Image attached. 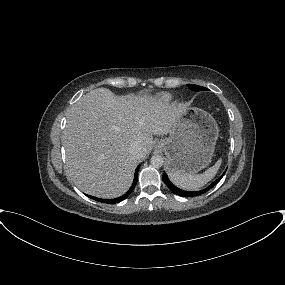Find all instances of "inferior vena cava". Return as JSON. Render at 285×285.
Segmentation results:
<instances>
[{
	"label": "inferior vena cava",
	"mask_w": 285,
	"mask_h": 285,
	"mask_svg": "<svg viewBox=\"0 0 285 285\" xmlns=\"http://www.w3.org/2000/svg\"><path fill=\"white\" fill-rule=\"evenodd\" d=\"M130 153L134 157H138L141 153V146L138 145L137 143H133L130 147Z\"/></svg>",
	"instance_id": "inferior-vena-cava-1"
}]
</instances>
